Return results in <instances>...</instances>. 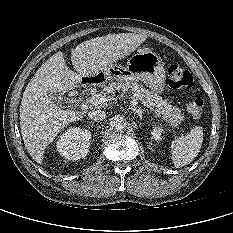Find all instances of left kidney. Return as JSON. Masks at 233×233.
<instances>
[{
    "label": "left kidney",
    "instance_id": "left-kidney-1",
    "mask_svg": "<svg viewBox=\"0 0 233 233\" xmlns=\"http://www.w3.org/2000/svg\"><path fill=\"white\" fill-rule=\"evenodd\" d=\"M162 133H163L162 127L160 126L154 127L151 132L152 139H154L155 141H160Z\"/></svg>",
    "mask_w": 233,
    "mask_h": 233
}]
</instances>
